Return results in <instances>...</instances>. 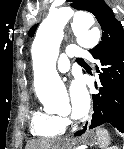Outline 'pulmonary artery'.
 Returning a JSON list of instances; mask_svg holds the SVG:
<instances>
[{"label":"pulmonary artery","mask_w":124,"mask_h":149,"mask_svg":"<svg viewBox=\"0 0 124 149\" xmlns=\"http://www.w3.org/2000/svg\"><path fill=\"white\" fill-rule=\"evenodd\" d=\"M89 58L90 54L87 50L76 45H68L64 53L60 56L57 69L60 73H65L70 68V62L73 58Z\"/></svg>","instance_id":"e3ab8cb5"}]
</instances>
